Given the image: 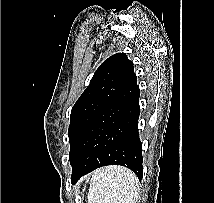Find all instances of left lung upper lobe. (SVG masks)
<instances>
[{"mask_svg": "<svg viewBox=\"0 0 214 203\" xmlns=\"http://www.w3.org/2000/svg\"><path fill=\"white\" fill-rule=\"evenodd\" d=\"M134 74L133 63L125 53L110 56L98 67L89 86L72 107L68 130L70 163L75 158L90 125L116 98Z\"/></svg>", "mask_w": 214, "mask_h": 203, "instance_id": "5c2ea615", "label": "left lung upper lobe"}]
</instances>
